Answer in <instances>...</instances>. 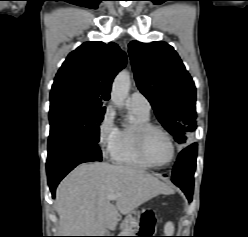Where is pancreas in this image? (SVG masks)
Here are the masks:
<instances>
[{"label":"pancreas","instance_id":"pancreas-1","mask_svg":"<svg viewBox=\"0 0 248 237\" xmlns=\"http://www.w3.org/2000/svg\"><path fill=\"white\" fill-rule=\"evenodd\" d=\"M135 232V226L130 224H124L123 232L121 235H132Z\"/></svg>","mask_w":248,"mask_h":237}]
</instances>
